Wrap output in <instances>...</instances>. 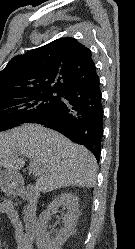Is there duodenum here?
I'll use <instances>...</instances> for the list:
<instances>
[{
	"label": "duodenum",
	"instance_id": "obj_1",
	"mask_svg": "<svg viewBox=\"0 0 135 249\" xmlns=\"http://www.w3.org/2000/svg\"><path fill=\"white\" fill-rule=\"evenodd\" d=\"M21 195L24 199H26L29 203V212H28V220L32 221V216L36 211V207L38 204V194L34 187H23L21 191Z\"/></svg>",
	"mask_w": 135,
	"mask_h": 249
}]
</instances>
